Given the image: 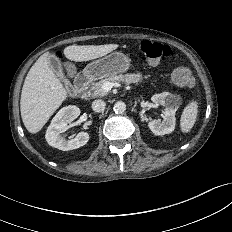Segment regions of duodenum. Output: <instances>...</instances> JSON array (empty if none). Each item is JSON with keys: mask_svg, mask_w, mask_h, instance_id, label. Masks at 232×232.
I'll return each mask as SVG.
<instances>
[{"mask_svg": "<svg viewBox=\"0 0 232 232\" xmlns=\"http://www.w3.org/2000/svg\"><path fill=\"white\" fill-rule=\"evenodd\" d=\"M89 82L90 75L84 72L77 74L74 79V85L79 92L85 91Z\"/></svg>", "mask_w": 232, "mask_h": 232, "instance_id": "410a0bca", "label": "duodenum"}]
</instances>
